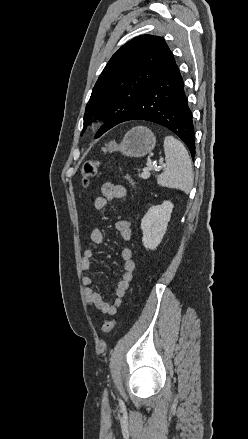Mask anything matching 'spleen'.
Segmentation results:
<instances>
[{"label":"spleen","instance_id":"3e777b00","mask_svg":"<svg viewBox=\"0 0 248 439\" xmlns=\"http://www.w3.org/2000/svg\"><path fill=\"white\" fill-rule=\"evenodd\" d=\"M166 167L158 176L160 186L179 189L188 194L193 186L191 159L185 146L173 136L164 139Z\"/></svg>","mask_w":248,"mask_h":439}]
</instances>
